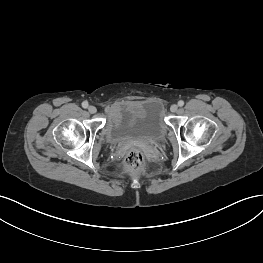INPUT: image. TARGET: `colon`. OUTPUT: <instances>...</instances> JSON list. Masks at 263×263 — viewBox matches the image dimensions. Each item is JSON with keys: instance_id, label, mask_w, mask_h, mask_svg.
Masks as SVG:
<instances>
[{"instance_id": "colon-1", "label": "colon", "mask_w": 263, "mask_h": 263, "mask_svg": "<svg viewBox=\"0 0 263 263\" xmlns=\"http://www.w3.org/2000/svg\"><path fill=\"white\" fill-rule=\"evenodd\" d=\"M145 162L144 152L138 147H132L126 153L123 160V169L126 172H138Z\"/></svg>"}]
</instances>
